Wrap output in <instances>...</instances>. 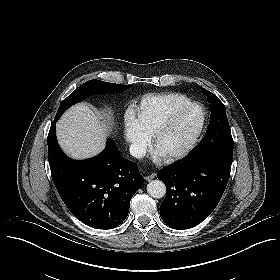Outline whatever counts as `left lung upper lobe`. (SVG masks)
Segmentation results:
<instances>
[{
    "instance_id": "obj_1",
    "label": "left lung upper lobe",
    "mask_w": 280,
    "mask_h": 280,
    "mask_svg": "<svg viewBox=\"0 0 280 280\" xmlns=\"http://www.w3.org/2000/svg\"><path fill=\"white\" fill-rule=\"evenodd\" d=\"M201 89L210 102V122L204 138L196 146L190 158L223 156L232 159L234 142L226 116L225 106L216 95L203 87Z\"/></svg>"
}]
</instances>
